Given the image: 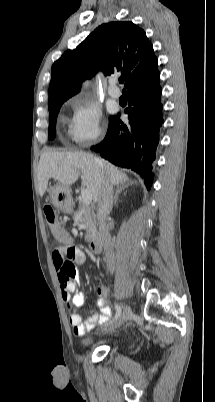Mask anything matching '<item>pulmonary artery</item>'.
Instances as JSON below:
<instances>
[{
	"mask_svg": "<svg viewBox=\"0 0 215 402\" xmlns=\"http://www.w3.org/2000/svg\"><path fill=\"white\" fill-rule=\"evenodd\" d=\"M117 80L116 78H111L109 80V87H108V93L111 97L118 99L121 96V91L120 89L116 86Z\"/></svg>",
	"mask_w": 215,
	"mask_h": 402,
	"instance_id": "1",
	"label": "pulmonary artery"
}]
</instances>
